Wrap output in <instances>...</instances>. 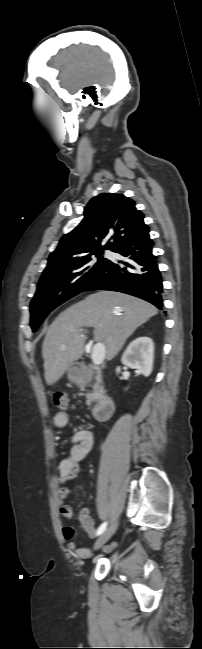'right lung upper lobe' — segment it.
<instances>
[{"label":"right lung upper lobe","mask_w":202,"mask_h":649,"mask_svg":"<svg viewBox=\"0 0 202 649\" xmlns=\"http://www.w3.org/2000/svg\"><path fill=\"white\" fill-rule=\"evenodd\" d=\"M143 218L144 215L135 208V202L123 194L103 193L92 198L81 223L64 235L57 249L50 254L41 278L68 271L74 260L87 253L113 250L125 239L148 228ZM107 236L114 241L101 246L102 239Z\"/></svg>","instance_id":"right-lung-upper-lobe-1"}]
</instances>
